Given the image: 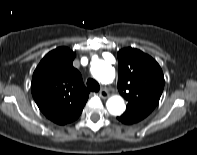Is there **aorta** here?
I'll use <instances>...</instances> for the list:
<instances>
[{
	"label": "aorta",
	"instance_id": "1",
	"mask_svg": "<svg viewBox=\"0 0 197 155\" xmlns=\"http://www.w3.org/2000/svg\"><path fill=\"white\" fill-rule=\"evenodd\" d=\"M91 74L98 81L109 84L115 78L114 68L104 60H97L91 64ZM110 114L121 115L125 109V103L121 96H112L106 102Z\"/></svg>",
	"mask_w": 197,
	"mask_h": 155
}]
</instances>
